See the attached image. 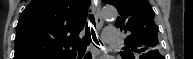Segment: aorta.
<instances>
[{
  "instance_id": "762f6f07",
  "label": "aorta",
  "mask_w": 193,
  "mask_h": 59,
  "mask_svg": "<svg viewBox=\"0 0 193 59\" xmlns=\"http://www.w3.org/2000/svg\"><path fill=\"white\" fill-rule=\"evenodd\" d=\"M101 16L105 20L112 21V20H115L117 18L118 12H117L116 8H114L112 6H106L102 9Z\"/></svg>"
}]
</instances>
